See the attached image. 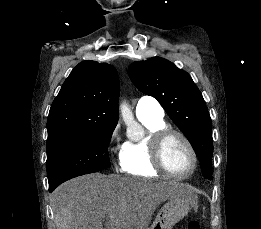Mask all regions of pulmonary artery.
<instances>
[{"mask_svg": "<svg viewBox=\"0 0 261 229\" xmlns=\"http://www.w3.org/2000/svg\"><path fill=\"white\" fill-rule=\"evenodd\" d=\"M136 114L138 118L151 117L158 119L164 117V109L153 97L142 96L137 102Z\"/></svg>", "mask_w": 261, "mask_h": 229, "instance_id": "1", "label": "pulmonary artery"}]
</instances>
